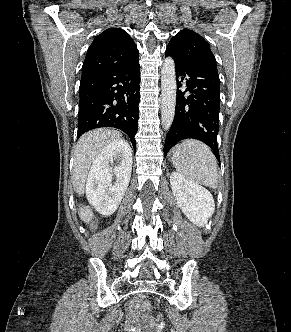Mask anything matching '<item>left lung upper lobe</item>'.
I'll use <instances>...</instances> for the list:
<instances>
[{"label": "left lung upper lobe", "instance_id": "obj_1", "mask_svg": "<svg viewBox=\"0 0 291 332\" xmlns=\"http://www.w3.org/2000/svg\"><path fill=\"white\" fill-rule=\"evenodd\" d=\"M167 49H169L175 57L189 64L200 62L216 64L209 43L196 32L186 28L181 30L170 40Z\"/></svg>", "mask_w": 291, "mask_h": 332}]
</instances>
